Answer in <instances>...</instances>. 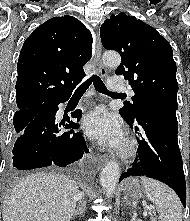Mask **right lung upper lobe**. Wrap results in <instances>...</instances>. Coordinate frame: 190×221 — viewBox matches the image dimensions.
I'll list each match as a JSON object with an SVG mask.
<instances>
[{
	"label": "right lung upper lobe",
	"mask_w": 190,
	"mask_h": 221,
	"mask_svg": "<svg viewBox=\"0 0 190 221\" xmlns=\"http://www.w3.org/2000/svg\"><path fill=\"white\" fill-rule=\"evenodd\" d=\"M92 35L75 17H54L24 42L19 56L16 102L19 111L71 95L85 77L83 65L92 54Z\"/></svg>",
	"instance_id": "cb5924a9"
}]
</instances>
